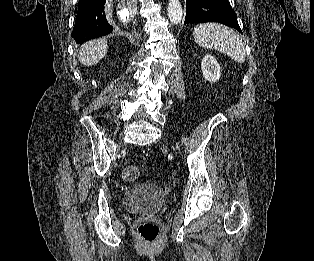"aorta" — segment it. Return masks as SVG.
Here are the masks:
<instances>
[{"mask_svg":"<svg viewBox=\"0 0 314 261\" xmlns=\"http://www.w3.org/2000/svg\"><path fill=\"white\" fill-rule=\"evenodd\" d=\"M183 11L179 0H169L168 19L172 24H178L182 20Z\"/></svg>","mask_w":314,"mask_h":261,"instance_id":"1","label":"aorta"}]
</instances>
